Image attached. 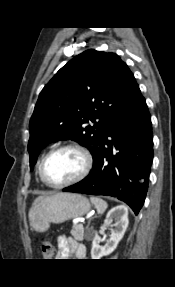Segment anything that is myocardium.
<instances>
[{
  "instance_id": "obj_1",
  "label": "myocardium",
  "mask_w": 175,
  "mask_h": 287,
  "mask_svg": "<svg viewBox=\"0 0 175 287\" xmlns=\"http://www.w3.org/2000/svg\"><path fill=\"white\" fill-rule=\"evenodd\" d=\"M64 149H72V150H75L78 153H80L83 157L84 165H83L81 172L77 176H75L74 178H72V179H70L64 183L54 184L47 179L46 174H45V166H46V163H47V161L51 155H53L57 151L64 150ZM92 166H93L92 155L85 147H83L79 144H76V143H65V144H61V145H58V146L52 148L43 157V159L41 160V163H40L39 175H40L41 180L47 186L52 187V188H63V187H67V186L76 184V183L82 181L84 178H86L87 175L90 173Z\"/></svg>"
}]
</instances>
